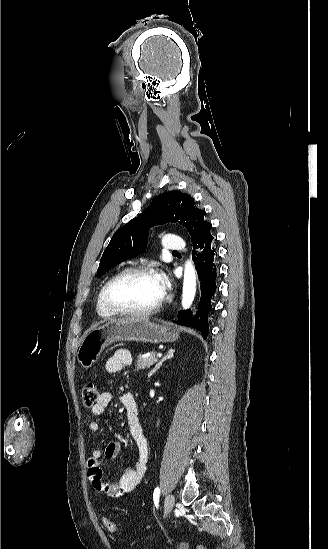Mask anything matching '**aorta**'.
Segmentation results:
<instances>
[{"instance_id":"1","label":"aorta","mask_w":328,"mask_h":549,"mask_svg":"<svg viewBox=\"0 0 328 549\" xmlns=\"http://www.w3.org/2000/svg\"><path fill=\"white\" fill-rule=\"evenodd\" d=\"M196 293V272L193 264L187 261L184 270L182 306L187 309L191 306Z\"/></svg>"}]
</instances>
